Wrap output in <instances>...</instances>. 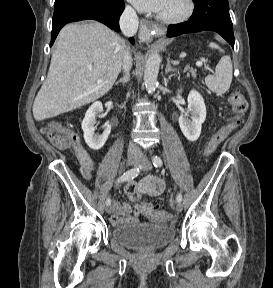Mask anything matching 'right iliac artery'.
I'll return each instance as SVG.
<instances>
[{
    "instance_id": "obj_1",
    "label": "right iliac artery",
    "mask_w": 273,
    "mask_h": 288,
    "mask_svg": "<svg viewBox=\"0 0 273 288\" xmlns=\"http://www.w3.org/2000/svg\"><path fill=\"white\" fill-rule=\"evenodd\" d=\"M140 170H141V166H138V167H135L126 171L122 176H120L116 180V184L134 179L135 177L138 176V174L140 173ZM110 204H111V199L110 197H108L106 200V205L109 206Z\"/></svg>"
}]
</instances>
